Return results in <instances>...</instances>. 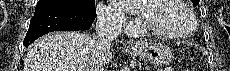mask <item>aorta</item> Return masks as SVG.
<instances>
[{
    "mask_svg": "<svg viewBox=\"0 0 230 71\" xmlns=\"http://www.w3.org/2000/svg\"><path fill=\"white\" fill-rule=\"evenodd\" d=\"M122 71H124V69ZM125 71H129L128 68H125Z\"/></svg>",
    "mask_w": 230,
    "mask_h": 71,
    "instance_id": "aorta-1",
    "label": "aorta"
}]
</instances>
